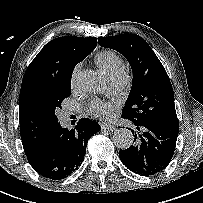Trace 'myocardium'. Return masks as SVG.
Wrapping results in <instances>:
<instances>
[{
    "label": "myocardium",
    "instance_id": "obj_1",
    "mask_svg": "<svg viewBox=\"0 0 203 203\" xmlns=\"http://www.w3.org/2000/svg\"><path fill=\"white\" fill-rule=\"evenodd\" d=\"M108 79L114 84L117 89H123L128 84V75L124 70H119L108 75Z\"/></svg>",
    "mask_w": 203,
    "mask_h": 203
}]
</instances>
